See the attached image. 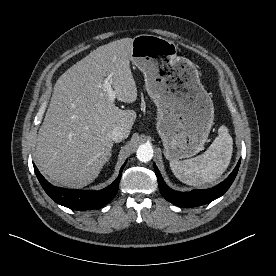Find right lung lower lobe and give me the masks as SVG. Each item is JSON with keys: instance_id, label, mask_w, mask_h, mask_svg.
Returning <instances> with one entry per match:
<instances>
[{"instance_id": "98d812e1", "label": "right lung lower lobe", "mask_w": 276, "mask_h": 276, "mask_svg": "<svg viewBox=\"0 0 276 276\" xmlns=\"http://www.w3.org/2000/svg\"><path fill=\"white\" fill-rule=\"evenodd\" d=\"M125 164L121 167L118 178L111 185L100 191L72 190L55 187L40 174L34 164L33 166L43 189L56 203L75 210H92L105 206L115 197Z\"/></svg>"}]
</instances>
